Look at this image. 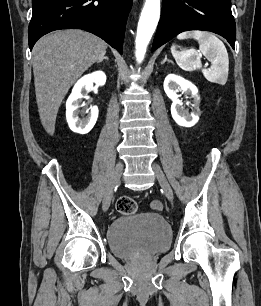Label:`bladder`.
Here are the masks:
<instances>
[{"label":"bladder","instance_id":"bladder-1","mask_svg":"<svg viewBox=\"0 0 261 306\" xmlns=\"http://www.w3.org/2000/svg\"><path fill=\"white\" fill-rule=\"evenodd\" d=\"M110 251L117 257L132 259L167 251L172 242L168 222L156 213H140L115 219L107 229Z\"/></svg>","mask_w":261,"mask_h":306}]
</instances>
